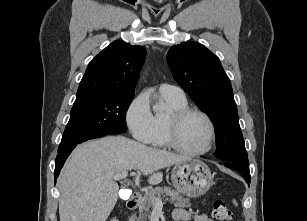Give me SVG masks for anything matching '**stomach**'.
Returning <instances> with one entry per match:
<instances>
[{
    "instance_id": "obj_1",
    "label": "stomach",
    "mask_w": 307,
    "mask_h": 221,
    "mask_svg": "<svg viewBox=\"0 0 307 221\" xmlns=\"http://www.w3.org/2000/svg\"><path fill=\"white\" fill-rule=\"evenodd\" d=\"M173 186L188 197L205 194L213 182L210 168L202 161L189 159L175 164L171 173Z\"/></svg>"
}]
</instances>
